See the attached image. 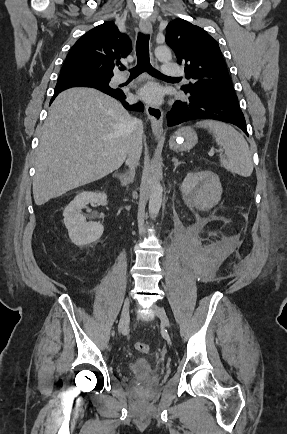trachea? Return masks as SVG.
<instances>
[{
    "instance_id": "3493384b",
    "label": "trachea",
    "mask_w": 287,
    "mask_h": 434,
    "mask_svg": "<svg viewBox=\"0 0 287 434\" xmlns=\"http://www.w3.org/2000/svg\"><path fill=\"white\" fill-rule=\"evenodd\" d=\"M137 65L130 69V78H136L143 72H147L151 76L158 78H172L163 75L158 70L154 69L150 64L149 58V35L139 33L136 43ZM125 68H121L124 70Z\"/></svg>"
}]
</instances>
